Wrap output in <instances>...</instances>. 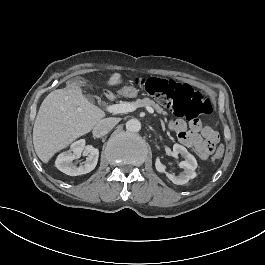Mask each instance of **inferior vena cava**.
<instances>
[{
  "label": "inferior vena cava",
  "mask_w": 265,
  "mask_h": 265,
  "mask_svg": "<svg viewBox=\"0 0 265 265\" xmlns=\"http://www.w3.org/2000/svg\"><path fill=\"white\" fill-rule=\"evenodd\" d=\"M116 125L114 118H104L100 120L93 128V136L96 138L103 137Z\"/></svg>",
  "instance_id": "1"
}]
</instances>
